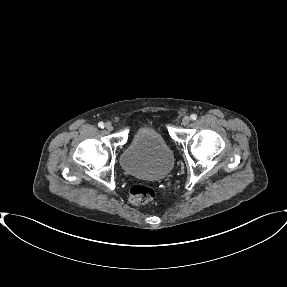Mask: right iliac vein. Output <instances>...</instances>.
<instances>
[{"label": "right iliac vein", "mask_w": 287, "mask_h": 287, "mask_svg": "<svg viewBox=\"0 0 287 287\" xmlns=\"http://www.w3.org/2000/svg\"><path fill=\"white\" fill-rule=\"evenodd\" d=\"M105 128L107 131H112L113 130V126L110 122L106 123Z\"/></svg>", "instance_id": "right-iliac-vein-1"}]
</instances>
